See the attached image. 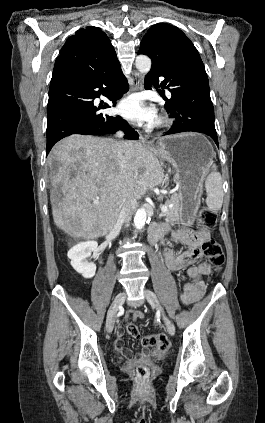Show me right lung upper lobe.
Segmentation results:
<instances>
[{
  "instance_id": "right-lung-upper-lobe-1",
  "label": "right lung upper lobe",
  "mask_w": 265,
  "mask_h": 423,
  "mask_svg": "<svg viewBox=\"0 0 265 423\" xmlns=\"http://www.w3.org/2000/svg\"><path fill=\"white\" fill-rule=\"evenodd\" d=\"M118 67L117 55L106 34L97 27L89 26L76 31L62 47L51 84L108 73Z\"/></svg>"
}]
</instances>
